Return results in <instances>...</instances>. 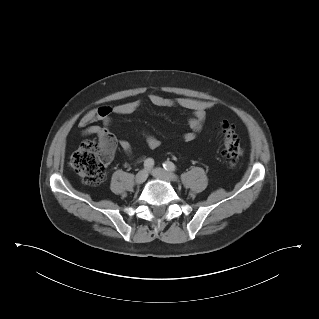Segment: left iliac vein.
Masks as SVG:
<instances>
[{
	"mask_svg": "<svg viewBox=\"0 0 319 319\" xmlns=\"http://www.w3.org/2000/svg\"><path fill=\"white\" fill-rule=\"evenodd\" d=\"M151 174L159 179L167 180V181H177L178 177L172 172L166 171L162 168H154L151 170Z\"/></svg>",
	"mask_w": 319,
	"mask_h": 319,
	"instance_id": "left-iliac-vein-1",
	"label": "left iliac vein"
}]
</instances>
